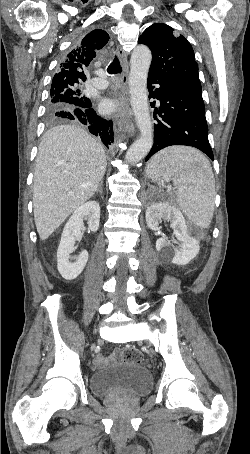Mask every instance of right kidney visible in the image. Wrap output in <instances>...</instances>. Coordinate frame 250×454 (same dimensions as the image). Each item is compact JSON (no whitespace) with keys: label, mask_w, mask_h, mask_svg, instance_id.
<instances>
[{"label":"right kidney","mask_w":250,"mask_h":454,"mask_svg":"<svg viewBox=\"0 0 250 454\" xmlns=\"http://www.w3.org/2000/svg\"><path fill=\"white\" fill-rule=\"evenodd\" d=\"M84 219H88V226L91 231L95 232L98 230L100 221V206L98 202L88 201L79 206L63 229L57 250V268L61 276L66 280L77 278L88 261L89 255L86 250L82 251L77 257L71 258L70 256L75 250V241L83 228ZM72 259L75 261L72 262Z\"/></svg>","instance_id":"right-kidney-1"}]
</instances>
